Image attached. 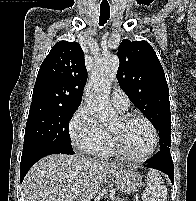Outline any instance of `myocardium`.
<instances>
[{
	"label": "myocardium",
	"mask_w": 196,
	"mask_h": 201,
	"mask_svg": "<svg viewBox=\"0 0 196 201\" xmlns=\"http://www.w3.org/2000/svg\"><path fill=\"white\" fill-rule=\"evenodd\" d=\"M119 119L122 124H128V123H131L134 121L144 122L151 130L152 145H151L150 150L146 154H144L140 157L132 156L125 151L118 135L115 132L110 130V137H111V140H112V143H113V146H114V149H115L117 155L120 156L121 158H123L124 160L133 162V163H142V162H145L148 159H150L156 152L157 147H158V141H159L157 129H156L155 125L152 123V121L143 115H136V114L124 115V116H121Z\"/></svg>",
	"instance_id": "obj_1"
}]
</instances>
